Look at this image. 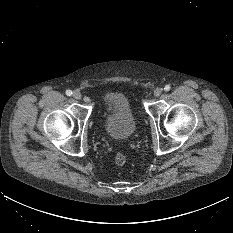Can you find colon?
Returning a JSON list of instances; mask_svg holds the SVG:
<instances>
[{
  "label": "colon",
  "mask_w": 233,
  "mask_h": 233,
  "mask_svg": "<svg viewBox=\"0 0 233 233\" xmlns=\"http://www.w3.org/2000/svg\"><path fill=\"white\" fill-rule=\"evenodd\" d=\"M126 156L123 153H117L115 157V162L117 165L122 166L126 163Z\"/></svg>",
  "instance_id": "1"
}]
</instances>
